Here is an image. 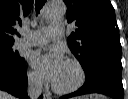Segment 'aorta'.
I'll return each mask as SVG.
<instances>
[{"instance_id":"1","label":"aorta","mask_w":128,"mask_h":99,"mask_svg":"<svg viewBox=\"0 0 128 99\" xmlns=\"http://www.w3.org/2000/svg\"><path fill=\"white\" fill-rule=\"evenodd\" d=\"M66 14V5L62 0H52L43 14L46 19H60Z\"/></svg>"}]
</instances>
